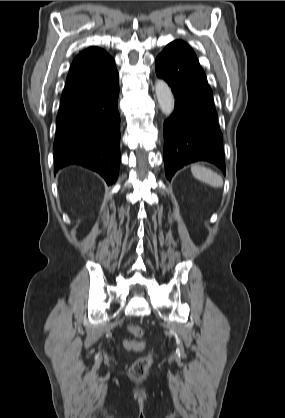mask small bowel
I'll use <instances>...</instances> for the list:
<instances>
[{"mask_svg": "<svg viewBox=\"0 0 285 418\" xmlns=\"http://www.w3.org/2000/svg\"><path fill=\"white\" fill-rule=\"evenodd\" d=\"M123 345L125 349L132 350L135 352H139L144 348V343L141 341L124 340Z\"/></svg>", "mask_w": 285, "mask_h": 418, "instance_id": "small-bowel-1", "label": "small bowel"}]
</instances>
